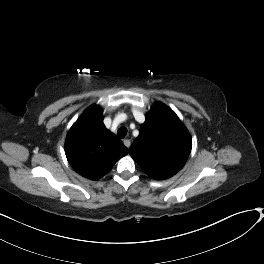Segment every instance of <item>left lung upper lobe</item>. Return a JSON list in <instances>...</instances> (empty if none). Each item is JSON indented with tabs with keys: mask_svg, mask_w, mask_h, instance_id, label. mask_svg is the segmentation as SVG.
I'll return each instance as SVG.
<instances>
[{
	"mask_svg": "<svg viewBox=\"0 0 264 264\" xmlns=\"http://www.w3.org/2000/svg\"><path fill=\"white\" fill-rule=\"evenodd\" d=\"M191 148L186 127L169 107L158 102L147 113L129 153L149 177L163 180L183 168Z\"/></svg>",
	"mask_w": 264,
	"mask_h": 264,
	"instance_id": "1",
	"label": "left lung upper lobe"
}]
</instances>
